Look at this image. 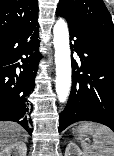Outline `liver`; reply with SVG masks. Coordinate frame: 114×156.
I'll list each match as a JSON object with an SVG mask.
<instances>
[{
	"instance_id": "6515ba94",
	"label": "liver",
	"mask_w": 114,
	"mask_h": 156,
	"mask_svg": "<svg viewBox=\"0 0 114 156\" xmlns=\"http://www.w3.org/2000/svg\"><path fill=\"white\" fill-rule=\"evenodd\" d=\"M23 129L13 122H0V152L17 142Z\"/></svg>"
}]
</instances>
